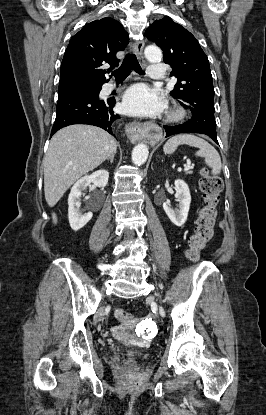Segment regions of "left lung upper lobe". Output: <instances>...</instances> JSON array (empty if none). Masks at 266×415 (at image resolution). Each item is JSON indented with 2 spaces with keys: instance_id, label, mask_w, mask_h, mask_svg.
Instances as JSON below:
<instances>
[{
  "instance_id": "5c2ea615",
  "label": "left lung upper lobe",
  "mask_w": 266,
  "mask_h": 415,
  "mask_svg": "<svg viewBox=\"0 0 266 415\" xmlns=\"http://www.w3.org/2000/svg\"><path fill=\"white\" fill-rule=\"evenodd\" d=\"M164 54L178 81L171 95L189 109L187 124L205 132L216 133L214 88L209 61L195 37L171 18L156 20L145 32Z\"/></svg>"
}]
</instances>
